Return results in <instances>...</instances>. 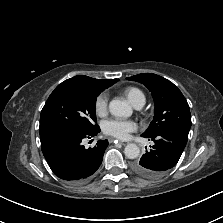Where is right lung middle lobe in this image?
<instances>
[{"label": "right lung middle lobe", "instance_id": "1", "mask_svg": "<svg viewBox=\"0 0 223 223\" xmlns=\"http://www.w3.org/2000/svg\"><path fill=\"white\" fill-rule=\"evenodd\" d=\"M101 88L58 85L46 101L40 116L39 133L54 128L93 131L98 128L95 104Z\"/></svg>", "mask_w": 223, "mask_h": 223}]
</instances>
